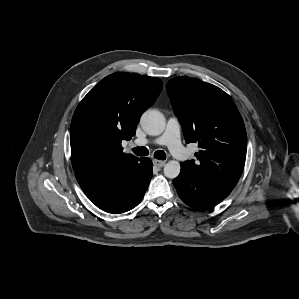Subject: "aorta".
<instances>
[{
	"instance_id": "obj_1",
	"label": "aorta",
	"mask_w": 299,
	"mask_h": 299,
	"mask_svg": "<svg viewBox=\"0 0 299 299\" xmlns=\"http://www.w3.org/2000/svg\"><path fill=\"white\" fill-rule=\"evenodd\" d=\"M140 124L147 134L157 136L163 133L166 122L160 111L151 109L142 114ZM180 169V163L176 160H171L164 166V174L167 178L174 179L179 175Z\"/></svg>"
}]
</instances>
